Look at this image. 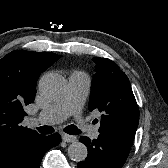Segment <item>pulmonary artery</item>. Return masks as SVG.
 Instances as JSON below:
<instances>
[{
  "label": "pulmonary artery",
  "instance_id": "e3ab8cb5",
  "mask_svg": "<svg viewBox=\"0 0 168 168\" xmlns=\"http://www.w3.org/2000/svg\"><path fill=\"white\" fill-rule=\"evenodd\" d=\"M90 83V77L86 73L72 72L68 78L65 94L58 101L43 109L38 115V121L45 124H54L71 115L78 116L87 98ZM80 121H83V119L80 118ZM87 130L92 139L98 138V127L87 126Z\"/></svg>",
  "mask_w": 168,
  "mask_h": 168
}]
</instances>
